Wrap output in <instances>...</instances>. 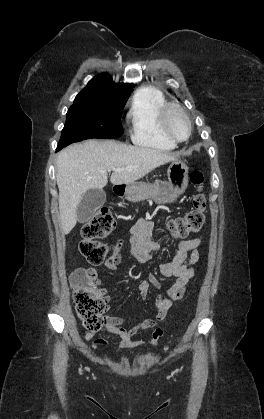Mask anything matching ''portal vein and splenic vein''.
Segmentation results:
<instances>
[{
    "mask_svg": "<svg viewBox=\"0 0 264 419\" xmlns=\"http://www.w3.org/2000/svg\"><path fill=\"white\" fill-rule=\"evenodd\" d=\"M111 170H113V171H119V170H123V169H116V168H111V169H109V171H111Z\"/></svg>",
    "mask_w": 264,
    "mask_h": 419,
    "instance_id": "18ae733b",
    "label": "portal vein and splenic vein"
}]
</instances>
